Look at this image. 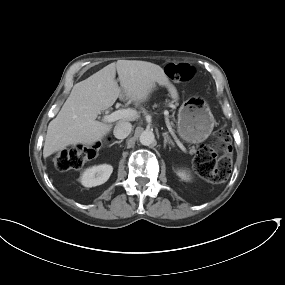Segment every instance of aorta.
<instances>
[{
    "mask_svg": "<svg viewBox=\"0 0 285 285\" xmlns=\"http://www.w3.org/2000/svg\"><path fill=\"white\" fill-rule=\"evenodd\" d=\"M139 141L144 146H149L155 142V135L152 131L145 130L141 133Z\"/></svg>",
    "mask_w": 285,
    "mask_h": 285,
    "instance_id": "obj_1",
    "label": "aorta"
}]
</instances>
